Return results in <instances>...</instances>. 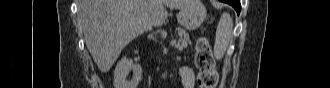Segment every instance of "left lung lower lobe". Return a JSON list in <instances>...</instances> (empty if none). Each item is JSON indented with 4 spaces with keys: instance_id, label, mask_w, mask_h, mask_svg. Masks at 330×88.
Returning <instances> with one entry per match:
<instances>
[{
    "instance_id": "left-lung-lower-lobe-1",
    "label": "left lung lower lobe",
    "mask_w": 330,
    "mask_h": 88,
    "mask_svg": "<svg viewBox=\"0 0 330 88\" xmlns=\"http://www.w3.org/2000/svg\"><path fill=\"white\" fill-rule=\"evenodd\" d=\"M220 1L228 3L231 6H233L236 9L237 14L239 15L241 10L240 0H220Z\"/></svg>"
}]
</instances>
